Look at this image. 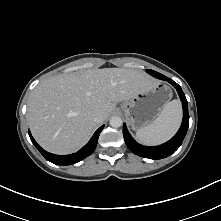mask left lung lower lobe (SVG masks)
<instances>
[{"instance_id":"left-lung-lower-lobe-1","label":"left lung lower lobe","mask_w":221,"mask_h":221,"mask_svg":"<svg viewBox=\"0 0 221 221\" xmlns=\"http://www.w3.org/2000/svg\"><path fill=\"white\" fill-rule=\"evenodd\" d=\"M160 79L168 81L176 88L179 94V97L181 99V102H182L183 120H182L181 127L179 131L176 133V135L171 140H169L168 142L162 145L148 147V146H143L141 144H138L128 132L126 125L125 124L123 125V135H124V140H125L127 147L134 154L144 157V158H151L153 160H159V159L166 158L172 155L182 144L184 137L187 133L188 127H189L188 102L181 87L176 82L167 78L164 75H162Z\"/></svg>"}]
</instances>
